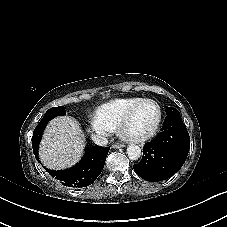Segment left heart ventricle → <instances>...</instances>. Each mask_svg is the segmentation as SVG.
Segmentation results:
<instances>
[{"instance_id":"left-heart-ventricle-1","label":"left heart ventricle","mask_w":227,"mask_h":227,"mask_svg":"<svg viewBox=\"0 0 227 227\" xmlns=\"http://www.w3.org/2000/svg\"><path fill=\"white\" fill-rule=\"evenodd\" d=\"M157 118L158 109L156 105L144 103L133 113L125 127V131L130 134H146L152 130Z\"/></svg>"}]
</instances>
